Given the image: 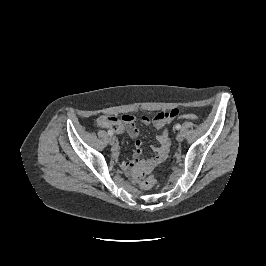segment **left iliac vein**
<instances>
[{
    "mask_svg": "<svg viewBox=\"0 0 266 266\" xmlns=\"http://www.w3.org/2000/svg\"><path fill=\"white\" fill-rule=\"evenodd\" d=\"M183 139H184V136H183L182 133H178V134L176 135V140H177L178 142H182Z\"/></svg>",
    "mask_w": 266,
    "mask_h": 266,
    "instance_id": "4c4485c4",
    "label": "left iliac vein"
}]
</instances>
